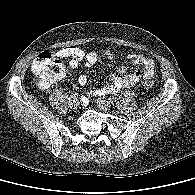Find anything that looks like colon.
Listing matches in <instances>:
<instances>
[{
	"label": "colon",
	"instance_id": "1",
	"mask_svg": "<svg viewBox=\"0 0 195 195\" xmlns=\"http://www.w3.org/2000/svg\"><path fill=\"white\" fill-rule=\"evenodd\" d=\"M32 69L37 83L41 87H48L52 83L60 80L65 71L63 61L51 52L40 53L33 61ZM153 85L154 83L150 79L144 81L146 88H151Z\"/></svg>",
	"mask_w": 195,
	"mask_h": 195
}]
</instances>
